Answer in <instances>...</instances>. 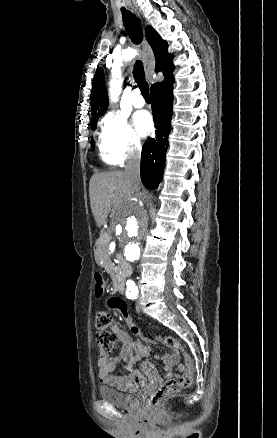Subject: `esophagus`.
<instances>
[{"mask_svg": "<svg viewBox=\"0 0 277 438\" xmlns=\"http://www.w3.org/2000/svg\"><path fill=\"white\" fill-rule=\"evenodd\" d=\"M151 55H152L151 47L148 45V43L146 41H144L142 44L141 58L143 60H145L148 57H150Z\"/></svg>", "mask_w": 277, "mask_h": 438, "instance_id": "esophagus-1", "label": "esophagus"}]
</instances>
